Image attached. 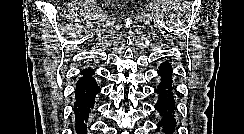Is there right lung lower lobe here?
Here are the masks:
<instances>
[{"instance_id":"obj_1","label":"right lung lower lobe","mask_w":244,"mask_h":134,"mask_svg":"<svg viewBox=\"0 0 244 134\" xmlns=\"http://www.w3.org/2000/svg\"><path fill=\"white\" fill-rule=\"evenodd\" d=\"M100 92L92 76H83L76 83L74 113L76 116V132L86 134L89 113L95 104V96Z\"/></svg>"}]
</instances>
